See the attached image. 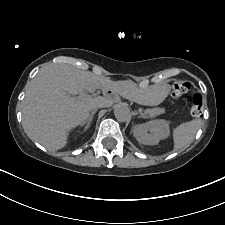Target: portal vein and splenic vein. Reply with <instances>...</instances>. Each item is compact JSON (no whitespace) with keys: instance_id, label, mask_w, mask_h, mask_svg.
<instances>
[{"instance_id":"obj_1","label":"portal vein and splenic vein","mask_w":225,"mask_h":225,"mask_svg":"<svg viewBox=\"0 0 225 225\" xmlns=\"http://www.w3.org/2000/svg\"><path fill=\"white\" fill-rule=\"evenodd\" d=\"M79 97H80V98H85L86 95H85L84 93H81Z\"/></svg>"}]
</instances>
